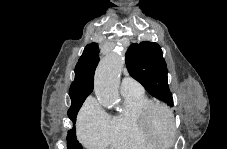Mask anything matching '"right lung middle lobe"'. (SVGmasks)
I'll return each instance as SVG.
<instances>
[{"label":"right lung middle lobe","mask_w":227,"mask_h":149,"mask_svg":"<svg viewBox=\"0 0 227 149\" xmlns=\"http://www.w3.org/2000/svg\"><path fill=\"white\" fill-rule=\"evenodd\" d=\"M81 106H82V103L78 107L68 110V116L73 121V123L76 122V116H77L78 110L80 109ZM67 148L68 149H81L82 148L81 145L76 140V134H75L74 127L68 131Z\"/></svg>","instance_id":"right-lung-middle-lobe-1"}]
</instances>
